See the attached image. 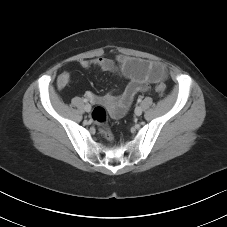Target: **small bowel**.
Wrapping results in <instances>:
<instances>
[{"mask_svg": "<svg viewBox=\"0 0 227 227\" xmlns=\"http://www.w3.org/2000/svg\"><path fill=\"white\" fill-rule=\"evenodd\" d=\"M78 64L83 69L97 68L104 72H116L126 79V85L120 94L110 92L96 95L90 91L85 94L91 102L109 105L114 117L121 116L128 110L137 93L148 91L151 84L165 78V69L161 65L124 55L117 56L115 60L105 57L82 59ZM159 66L162 70L158 69ZM70 80L69 72L60 73L56 80L57 87L63 89Z\"/></svg>", "mask_w": 227, "mask_h": 227, "instance_id": "c3829d8e", "label": "small bowel"}]
</instances>
